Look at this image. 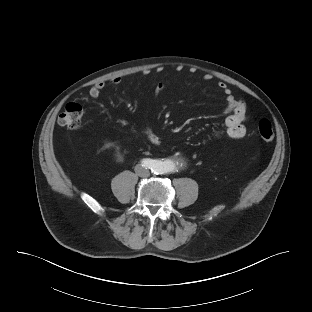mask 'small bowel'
<instances>
[{"label": "small bowel", "mask_w": 312, "mask_h": 312, "mask_svg": "<svg viewBox=\"0 0 312 312\" xmlns=\"http://www.w3.org/2000/svg\"><path fill=\"white\" fill-rule=\"evenodd\" d=\"M205 80H210L211 75H205ZM120 77H115L111 80L112 85H118L121 82ZM105 87L104 82H98L89 89V97L91 99L99 98L102 90ZM218 87L221 92L225 95L226 107L224 114L227 115L225 119V133L230 139H241L246 135L245 121L247 119L246 104L243 100L237 99L233 94L228 85L224 82H219ZM164 90L162 84H158L156 87L157 93ZM145 134L148 140L154 145H160L161 139L159 136L154 134L150 128L145 129Z\"/></svg>", "instance_id": "c3829d8e"}]
</instances>
